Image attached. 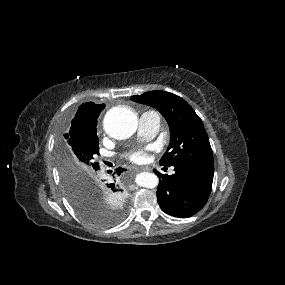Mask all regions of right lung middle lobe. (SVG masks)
I'll list each match as a JSON object with an SVG mask.
<instances>
[{"label":"right lung middle lobe","instance_id":"obj_1","mask_svg":"<svg viewBox=\"0 0 285 285\" xmlns=\"http://www.w3.org/2000/svg\"><path fill=\"white\" fill-rule=\"evenodd\" d=\"M98 150L97 136L73 142L60 140L57 165L64 191L74 210L87 222L106 227L120 218L126 199L118 192L114 195L98 179L99 166L95 162Z\"/></svg>","mask_w":285,"mask_h":285}]
</instances>
